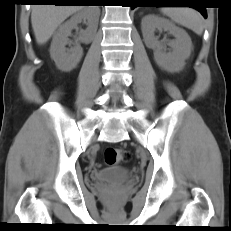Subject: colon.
<instances>
[{
	"label": "colon",
	"instance_id": "colon-1",
	"mask_svg": "<svg viewBox=\"0 0 231 231\" xmlns=\"http://www.w3.org/2000/svg\"><path fill=\"white\" fill-rule=\"evenodd\" d=\"M130 159V154L119 147H108L104 153V160L107 165H116Z\"/></svg>",
	"mask_w": 231,
	"mask_h": 231
}]
</instances>
